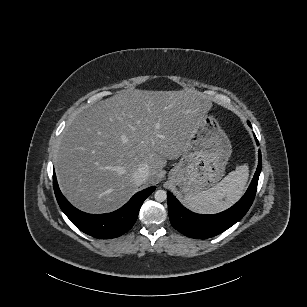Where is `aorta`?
<instances>
[{
	"instance_id": "aorta-1",
	"label": "aorta",
	"mask_w": 307,
	"mask_h": 307,
	"mask_svg": "<svg viewBox=\"0 0 307 307\" xmlns=\"http://www.w3.org/2000/svg\"><path fill=\"white\" fill-rule=\"evenodd\" d=\"M154 198L158 202H163L167 198V193L164 190H157L154 194Z\"/></svg>"
}]
</instances>
